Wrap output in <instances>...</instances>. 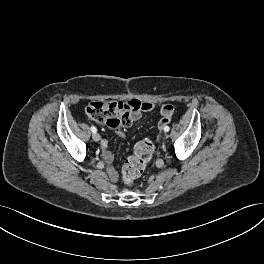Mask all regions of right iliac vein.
Returning a JSON list of instances; mask_svg holds the SVG:
<instances>
[{
	"label": "right iliac vein",
	"instance_id": "right-iliac-vein-1",
	"mask_svg": "<svg viewBox=\"0 0 264 264\" xmlns=\"http://www.w3.org/2000/svg\"><path fill=\"white\" fill-rule=\"evenodd\" d=\"M92 138L94 141L98 142L100 141V135L98 133H93Z\"/></svg>",
	"mask_w": 264,
	"mask_h": 264
}]
</instances>
